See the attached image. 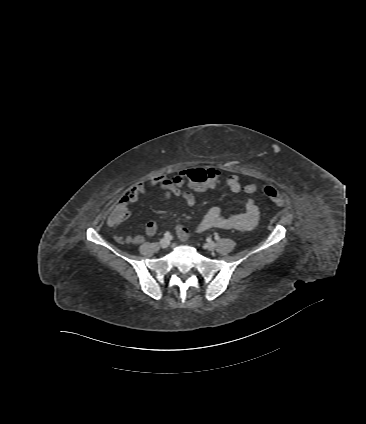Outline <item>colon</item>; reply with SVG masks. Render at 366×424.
<instances>
[{"mask_svg":"<svg viewBox=\"0 0 366 424\" xmlns=\"http://www.w3.org/2000/svg\"><path fill=\"white\" fill-rule=\"evenodd\" d=\"M216 176V172L212 169H191L181 172V177L187 181L190 186L194 189L204 188L213 178ZM255 184H248L245 187L247 193H254L257 190ZM263 193L268 196L276 205L283 207L285 201L280 192L271 185H264L262 187ZM119 212L122 217H128L129 210L127 207H120Z\"/></svg>","mask_w":366,"mask_h":424,"instance_id":"obj_1","label":"colon"}]
</instances>
